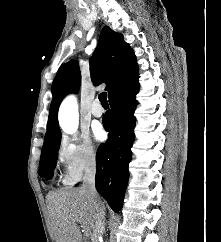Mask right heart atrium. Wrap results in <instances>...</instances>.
I'll return each mask as SVG.
<instances>
[{
    "label": "right heart atrium",
    "mask_w": 221,
    "mask_h": 242,
    "mask_svg": "<svg viewBox=\"0 0 221 242\" xmlns=\"http://www.w3.org/2000/svg\"><path fill=\"white\" fill-rule=\"evenodd\" d=\"M56 154L64 168L66 184H73L84 173L94 170L98 160L97 150L86 136H62Z\"/></svg>",
    "instance_id": "right-heart-atrium-1"
}]
</instances>
